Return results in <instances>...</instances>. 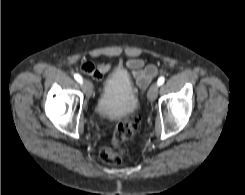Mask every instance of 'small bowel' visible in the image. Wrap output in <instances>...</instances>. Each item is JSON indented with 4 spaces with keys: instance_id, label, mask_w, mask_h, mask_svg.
I'll use <instances>...</instances> for the list:
<instances>
[{
    "instance_id": "small-bowel-1",
    "label": "small bowel",
    "mask_w": 245,
    "mask_h": 195,
    "mask_svg": "<svg viewBox=\"0 0 245 195\" xmlns=\"http://www.w3.org/2000/svg\"><path fill=\"white\" fill-rule=\"evenodd\" d=\"M126 65L131 70L133 79L140 89H145L157 75V68L154 65H145L142 59H130ZM111 67V63H98L95 65L91 62H85L81 65V70L90 78L100 81Z\"/></svg>"
}]
</instances>
